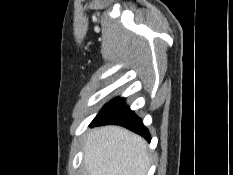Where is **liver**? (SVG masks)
<instances>
[{"label": "liver", "instance_id": "obj_1", "mask_svg": "<svg viewBox=\"0 0 233 175\" xmlns=\"http://www.w3.org/2000/svg\"><path fill=\"white\" fill-rule=\"evenodd\" d=\"M88 175H146L150 159L145 140L119 126L98 127L84 144Z\"/></svg>", "mask_w": 233, "mask_h": 175}]
</instances>
